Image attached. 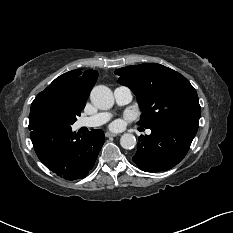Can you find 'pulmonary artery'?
I'll return each instance as SVG.
<instances>
[{
	"label": "pulmonary artery",
	"instance_id": "1",
	"mask_svg": "<svg viewBox=\"0 0 233 233\" xmlns=\"http://www.w3.org/2000/svg\"><path fill=\"white\" fill-rule=\"evenodd\" d=\"M132 92L126 86H119L114 90V99L119 106L128 104L132 100ZM111 117L109 112H100L90 117L81 118L78 121L79 127H98L105 124ZM148 134L151 130L147 131Z\"/></svg>",
	"mask_w": 233,
	"mask_h": 233
}]
</instances>
